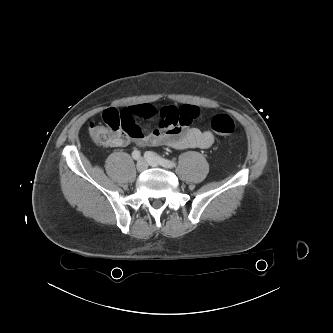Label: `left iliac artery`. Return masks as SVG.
<instances>
[{
    "mask_svg": "<svg viewBox=\"0 0 333 333\" xmlns=\"http://www.w3.org/2000/svg\"><path fill=\"white\" fill-rule=\"evenodd\" d=\"M151 156H154L158 162L164 166V167H167V168H173L176 166V162L175 161H171V160H168V159H165V158H162L161 156H158L152 152H146L145 153V158L147 157H151Z\"/></svg>",
    "mask_w": 333,
    "mask_h": 333,
    "instance_id": "44dca946",
    "label": "left iliac artery"
}]
</instances>
